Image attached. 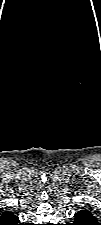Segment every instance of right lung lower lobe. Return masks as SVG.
I'll list each match as a JSON object with an SVG mask.
<instances>
[{"instance_id":"right-lung-lower-lobe-1","label":"right lung lower lobe","mask_w":101,"mask_h":225,"mask_svg":"<svg viewBox=\"0 0 101 225\" xmlns=\"http://www.w3.org/2000/svg\"><path fill=\"white\" fill-rule=\"evenodd\" d=\"M9 225H22V224H19V223H18V220H17V222L12 223V224H9Z\"/></svg>"}]
</instances>
